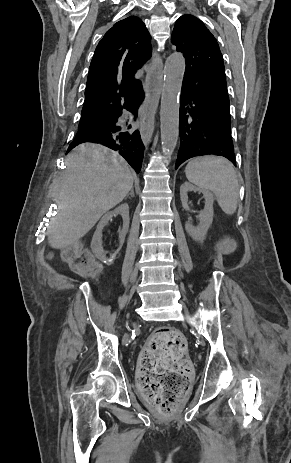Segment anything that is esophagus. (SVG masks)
<instances>
[{
    "label": "esophagus",
    "mask_w": 291,
    "mask_h": 463,
    "mask_svg": "<svg viewBox=\"0 0 291 463\" xmlns=\"http://www.w3.org/2000/svg\"><path fill=\"white\" fill-rule=\"evenodd\" d=\"M161 64V57L157 53H154L152 71L150 73L151 86L147 97L149 108L140 127L141 137L145 143L150 142L154 131V116L163 87V71Z\"/></svg>",
    "instance_id": "34e87169"
}]
</instances>
